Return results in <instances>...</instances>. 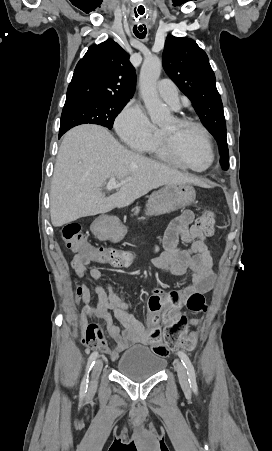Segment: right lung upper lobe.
I'll list each match as a JSON object with an SVG mask.
<instances>
[{"mask_svg":"<svg viewBox=\"0 0 272 451\" xmlns=\"http://www.w3.org/2000/svg\"><path fill=\"white\" fill-rule=\"evenodd\" d=\"M136 74L129 54L108 39L92 45L74 70L66 102L82 99L127 101L135 92Z\"/></svg>","mask_w":272,"mask_h":451,"instance_id":"1","label":"right lung upper lobe"}]
</instances>
